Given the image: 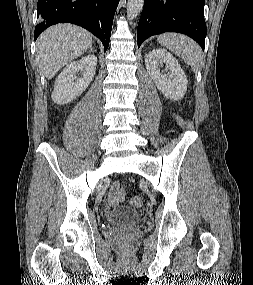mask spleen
<instances>
[{"label":"spleen","mask_w":253,"mask_h":285,"mask_svg":"<svg viewBox=\"0 0 253 285\" xmlns=\"http://www.w3.org/2000/svg\"><path fill=\"white\" fill-rule=\"evenodd\" d=\"M157 41L177 56L181 57L194 72L203 65L204 56L199 45L187 36L177 33H164Z\"/></svg>","instance_id":"1"}]
</instances>
